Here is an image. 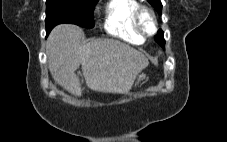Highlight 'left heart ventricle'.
Here are the masks:
<instances>
[{
    "mask_svg": "<svg viewBox=\"0 0 227 142\" xmlns=\"http://www.w3.org/2000/svg\"><path fill=\"white\" fill-rule=\"evenodd\" d=\"M143 22H144V25H145V28L148 32H151L153 30V26H152V22L150 20V17L148 15H145L143 17Z\"/></svg>",
    "mask_w": 227,
    "mask_h": 142,
    "instance_id": "left-heart-ventricle-1",
    "label": "left heart ventricle"
}]
</instances>
